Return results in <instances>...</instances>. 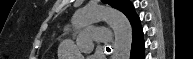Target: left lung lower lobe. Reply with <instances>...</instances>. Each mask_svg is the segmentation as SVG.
<instances>
[{
	"instance_id": "obj_1",
	"label": "left lung lower lobe",
	"mask_w": 193,
	"mask_h": 59,
	"mask_svg": "<svg viewBox=\"0 0 193 59\" xmlns=\"http://www.w3.org/2000/svg\"><path fill=\"white\" fill-rule=\"evenodd\" d=\"M128 19L132 25V48L130 59H144V40L140 19L135 12L131 14Z\"/></svg>"
}]
</instances>
